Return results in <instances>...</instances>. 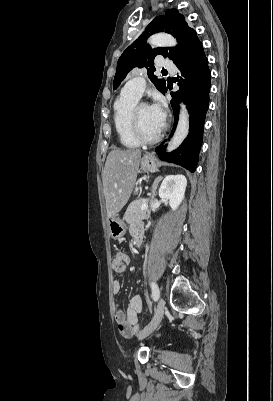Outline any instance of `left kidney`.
Wrapping results in <instances>:
<instances>
[{"mask_svg":"<svg viewBox=\"0 0 273 401\" xmlns=\"http://www.w3.org/2000/svg\"><path fill=\"white\" fill-rule=\"evenodd\" d=\"M186 186L187 178L184 174H168L159 188V196L168 198L172 211H176L183 201Z\"/></svg>","mask_w":273,"mask_h":401,"instance_id":"left-kidney-1","label":"left kidney"}]
</instances>
